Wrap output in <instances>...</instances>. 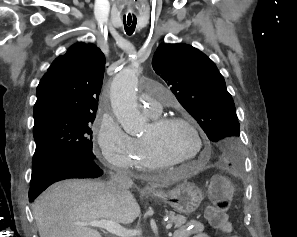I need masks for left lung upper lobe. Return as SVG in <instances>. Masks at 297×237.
<instances>
[{"instance_id": "obj_1", "label": "left lung upper lobe", "mask_w": 297, "mask_h": 237, "mask_svg": "<svg viewBox=\"0 0 297 237\" xmlns=\"http://www.w3.org/2000/svg\"><path fill=\"white\" fill-rule=\"evenodd\" d=\"M155 72L197 120L224 160L241 156L234 101L213 61L186 44H161L152 60Z\"/></svg>"}]
</instances>
